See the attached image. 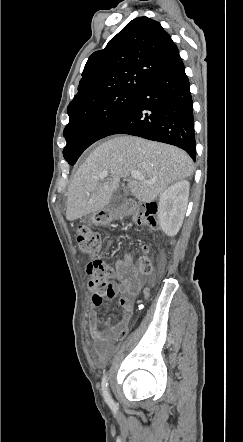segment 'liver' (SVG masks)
Listing matches in <instances>:
<instances>
[{
	"mask_svg": "<svg viewBox=\"0 0 243 442\" xmlns=\"http://www.w3.org/2000/svg\"><path fill=\"white\" fill-rule=\"evenodd\" d=\"M107 170L110 180L99 174ZM132 171L143 179L128 184L140 202L154 201L175 181L190 177L193 161L183 150L133 136H117L99 145L76 171L67 193L66 218L74 221L106 207L121 177Z\"/></svg>",
	"mask_w": 243,
	"mask_h": 442,
	"instance_id": "6515ba94",
	"label": "liver"
}]
</instances>
